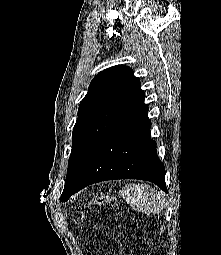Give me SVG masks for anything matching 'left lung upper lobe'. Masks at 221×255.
Returning <instances> with one entry per match:
<instances>
[{
    "label": "left lung upper lobe",
    "instance_id": "obj_1",
    "mask_svg": "<svg viewBox=\"0 0 221 255\" xmlns=\"http://www.w3.org/2000/svg\"><path fill=\"white\" fill-rule=\"evenodd\" d=\"M144 95L139 79L127 66H113L94 77L79 105L73 128L62 202L71 196L97 147L114 126L144 100Z\"/></svg>",
    "mask_w": 221,
    "mask_h": 255
}]
</instances>
